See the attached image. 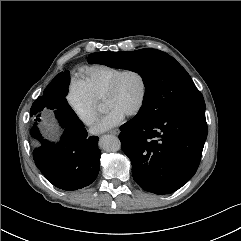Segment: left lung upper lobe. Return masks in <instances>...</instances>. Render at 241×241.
Segmentation results:
<instances>
[{"mask_svg":"<svg viewBox=\"0 0 241 241\" xmlns=\"http://www.w3.org/2000/svg\"><path fill=\"white\" fill-rule=\"evenodd\" d=\"M88 62L140 74L146 89L139 113L149 115L150 118H158L171 110L182 108L205 109L203 96L189 74L165 52L149 48L98 52L90 54Z\"/></svg>","mask_w":241,"mask_h":241,"instance_id":"obj_1","label":"left lung upper lobe"}]
</instances>
